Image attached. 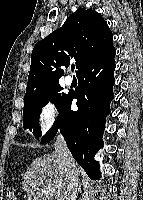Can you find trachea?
Returning a JSON list of instances; mask_svg holds the SVG:
<instances>
[{
  "instance_id": "trachea-1",
  "label": "trachea",
  "mask_w": 143,
  "mask_h": 200,
  "mask_svg": "<svg viewBox=\"0 0 143 200\" xmlns=\"http://www.w3.org/2000/svg\"><path fill=\"white\" fill-rule=\"evenodd\" d=\"M74 69H75V66H71V70L74 71Z\"/></svg>"
}]
</instances>
